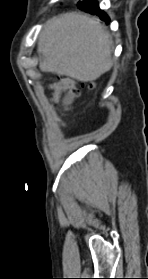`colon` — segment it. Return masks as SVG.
<instances>
[{"label":"colon","mask_w":148,"mask_h":279,"mask_svg":"<svg viewBox=\"0 0 148 279\" xmlns=\"http://www.w3.org/2000/svg\"><path fill=\"white\" fill-rule=\"evenodd\" d=\"M77 85L78 82L72 78L65 77L59 79L48 86L51 99L54 101H59L68 95H77ZM82 85H84V83H82ZM89 86L90 88L95 87L93 83H89Z\"/></svg>","instance_id":"5ec220e1"}]
</instances>
